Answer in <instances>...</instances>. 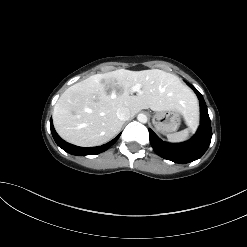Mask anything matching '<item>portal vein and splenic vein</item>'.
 <instances>
[{"label": "portal vein and splenic vein", "instance_id": "18ae733b", "mask_svg": "<svg viewBox=\"0 0 247 247\" xmlns=\"http://www.w3.org/2000/svg\"><path fill=\"white\" fill-rule=\"evenodd\" d=\"M140 90H141V84H136L133 87H131L130 92L131 93L140 92Z\"/></svg>", "mask_w": 247, "mask_h": 247}]
</instances>
